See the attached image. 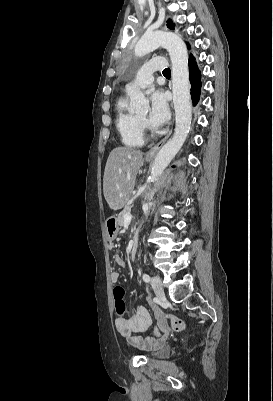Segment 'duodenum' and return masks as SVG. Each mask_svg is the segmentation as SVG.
<instances>
[{"label": "duodenum", "mask_w": 273, "mask_h": 401, "mask_svg": "<svg viewBox=\"0 0 273 401\" xmlns=\"http://www.w3.org/2000/svg\"><path fill=\"white\" fill-rule=\"evenodd\" d=\"M137 250H138V241L135 238L131 244V249H130V256L132 259H134L136 257Z\"/></svg>", "instance_id": "obj_1"}]
</instances>
